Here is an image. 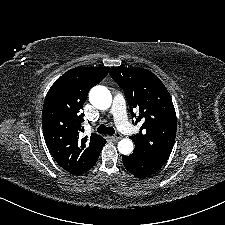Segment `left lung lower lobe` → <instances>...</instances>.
<instances>
[{
    "instance_id": "0a47b994",
    "label": "left lung lower lobe",
    "mask_w": 225,
    "mask_h": 225,
    "mask_svg": "<svg viewBox=\"0 0 225 225\" xmlns=\"http://www.w3.org/2000/svg\"><path fill=\"white\" fill-rule=\"evenodd\" d=\"M125 168L137 178L149 177L160 170L162 165L148 162L136 155L123 156Z\"/></svg>"
}]
</instances>
